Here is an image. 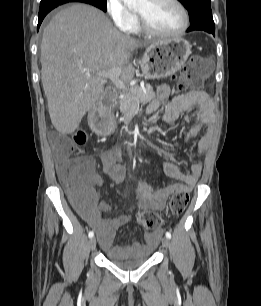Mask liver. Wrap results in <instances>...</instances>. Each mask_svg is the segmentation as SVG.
I'll return each mask as SVG.
<instances>
[{
  "label": "liver",
  "instance_id": "liver-1",
  "mask_svg": "<svg viewBox=\"0 0 261 306\" xmlns=\"http://www.w3.org/2000/svg\"><path fill=\"white\" fill-rule=\"evenodd\" d=\"M146 45L120 33L93 6L75 4L58 12L41 42V80L56 130L71 134L78 128L103 94L100 72L121 68V80L131 81V52Z\"/></svg>",
  "mask_w": 261,
  "mask_h": 306
}]
</instances>
